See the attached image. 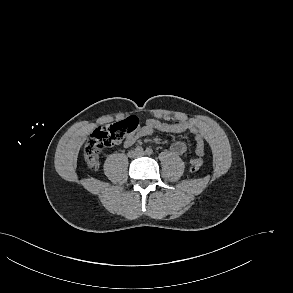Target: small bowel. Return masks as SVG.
I'll return each mask as SVG.
<instances>
[{
	"label": "small bowel",
	"instance_id": "small-bowel-1",
	"mask_svg": "<svg viewBox=\"0 0 293 293\" xmlns=\"http://www.w3.org/2000/svg\"><path fill=\"white\" fill-rule=\"evenodd\" d=\"M155 131L175 133V134L190 132L195 137L196 154L198 156V158L190 159V163L193 164L197 161H202L201 157L205 154L204 137H203V134L200 132V130L197 128V126L194 123L189 121L165 123L153 118L145 119L141 122V126L137 132L127 135V137L124 140V146L130 147L140 137L152 135ZM171 150L173 153L177 155L185 156L187 151L186 142L183 140H179L175 142L172 145Z\"/></svg>",
	"mask_w": 293,
	"mask_h": 293
}]
</instances>
